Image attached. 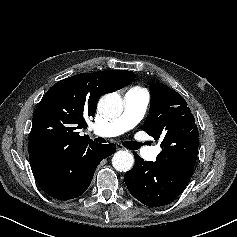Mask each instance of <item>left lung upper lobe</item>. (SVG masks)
<instances>
[{
  "label": "left lung upper lobe",
  "instance_id": "left-lung-upper-lobe-1",
  "mask_svg": "<svg viewBox=\"0 0 237 237\" xmlns=\"http://www.w3.org/2000/svg\"><path fill=\"white\" fill-rule=\"evenodd\" d=\"M150 112L142 130L161 141L156 160L172 166L194 168L198 128L185 99L162 83L150 85Z\"/></svg>",
  "mask_w": 237,
  "mask_h": 237
}]
</instances>
